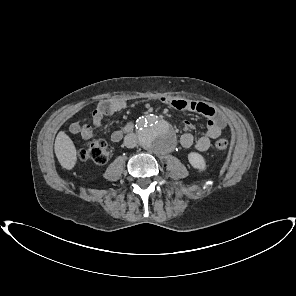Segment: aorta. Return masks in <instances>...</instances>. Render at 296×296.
<instances>
[{"mask_svg": "<svg viewBox=\"0 0 296 296\" xmlns=\"http://www.w3.org/2000/svg\"><path fill=\"white\" fill-rule=\"evenodd\" d=\"M137 134L140 145L149 152L165 154L175 147L172 126L153 114L138 119Z\"/></svg>", "mask_w": 296, "mask_h": 296, "instance_id": "1", "label": "aorta"}]
</instances>
